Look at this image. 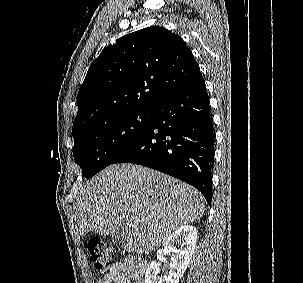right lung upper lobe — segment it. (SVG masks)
I'll use <instances>...</instances> for the list:
<instances>
[{
	"label": "right lung upper lobe",
	"instance_id": "obj_1",
	"mask_svg": "<svg viewBox=\"0 0 303 283\" xmlns=\"http://www.w3.org/2000/svg\"><path fill=\"white\" fill-rule=\"evenodd\" d=\"M201 78L179 35L160 26L125 35L90 65L78 92L72 132L125 113L151 111Z\"/></svg>",
	"mask_w": 303,
	"mask_h": 283
}]
</instances>
